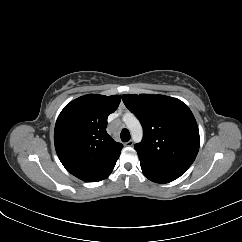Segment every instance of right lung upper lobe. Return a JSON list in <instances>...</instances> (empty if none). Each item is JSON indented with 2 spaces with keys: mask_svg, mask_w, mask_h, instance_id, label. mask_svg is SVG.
<instances>
[{
  "mask_svg": "<svg viewBox=\"0 0 242 242\" xmlns=\"http://www.w3.org/2000/svg\"><path fill=\"white\" fill-rule=\"evenodd\" d=\"M120 100L119 95L88 94L70 102L58 116L55 149L63 166L77 178L96 182L115 166L123 145L107 134L106 127Z\"/></svg>",
  "mask_w": 242,
  "mask_h": 242,
  "instance_id": "1",
  "label": "right lung upper lobe"
}]
</instances>
